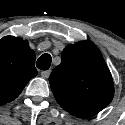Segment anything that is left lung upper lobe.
Wrapping results in <instances>:
<instances>
[{"label":"left lung upper lobe","mask_w":125,"mask_h":125,"mask_svg":"<svg viewBox=\"0 0 125 125\" xmlns=\"http://www.w3.org/2000/svg\"><path fill=\"white\" fill-rule=\"evenodd\" d=\"M49 81L60 106L79 118L96 115L114 96L111 73L101 52L89 41L67 45Z\"/></svg>","instance_id":"5c2ea615"}]
</instances>
